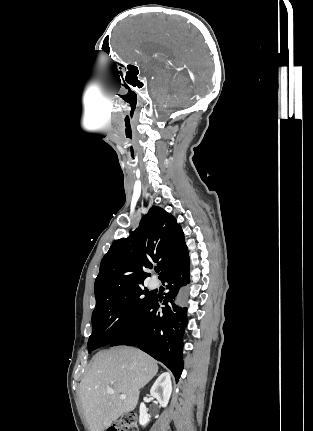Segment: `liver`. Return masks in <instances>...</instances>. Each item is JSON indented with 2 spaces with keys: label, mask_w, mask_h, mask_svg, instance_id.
Returning a JSON list of instances; mask_svg holds the SVG:
<instances>
[{
  "label": "liver",
  "mask_w": 313,
  "mask_h": 431,
  "mask_svg": "<svg viewBox=\"0 0 313 431\" xmlns=\"http://www.w3.org/2000/svg\"><path fill=\"white\" fill-rule=\"evenodd\" d=\"M157 372V362L135 348L118 346L97 353L79 385L90 431H104L119 417L133 411L140 389ZM107 388H113L114 394H108ZM122 394L125 399L120 397Z\"/></svg>",
  "instance_id": "liver-1"
}]
</instances>
